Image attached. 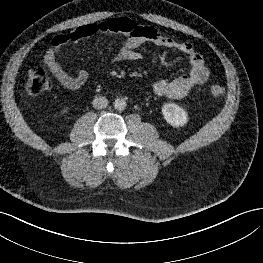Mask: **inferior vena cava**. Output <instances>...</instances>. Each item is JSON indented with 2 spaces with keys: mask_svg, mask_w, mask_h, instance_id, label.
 Masks as SVG:
<instances>
[{
  "mask_svg": "<svg viewBox=\"0 0 263 263\" xmlns=\"http://www.w3.org/2000/svg\"><path fill=\"white\" fill-rule=\"evenodd\" d=\"M92 104L96 109H103L107 107L108 100L105 97L99 96L94 98Z\"/></svg>",
  "mask_w": 263,
  "mask_h": 263,
  "instance_id": "obj_1",
  "label": "inferior vena cava"
}]
</instances>
